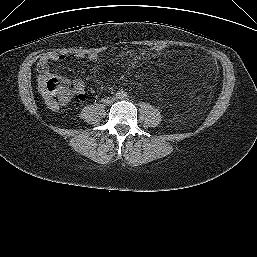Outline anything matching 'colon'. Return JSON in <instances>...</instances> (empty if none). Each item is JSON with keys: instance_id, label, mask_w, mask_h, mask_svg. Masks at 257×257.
<instances>
[{"instance_id": "1", "label": "colon", "mask_w": 257, "mask_h": 257, "mask_svg": "<svg viewBox=\"0 0 257 257\" xmlns=\"http://www.w3.org/2000/svg\"><path fill=\"white\" fill-rule=\"evenodd\" d=\"M151 49L156 53H161L166 49L165 45H153ZM41 91L51 108H58L66 105L73 99V92L58 78L52 77L41 85Z\"/></svg>"}]
</instances>
